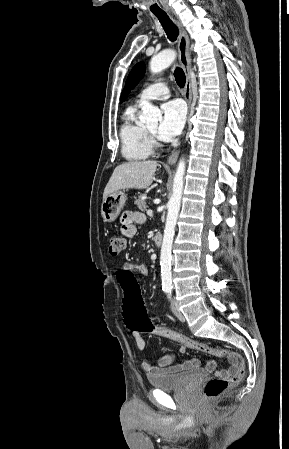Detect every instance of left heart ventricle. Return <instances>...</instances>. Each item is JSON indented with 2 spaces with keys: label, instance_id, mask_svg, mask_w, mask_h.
Segmentation results:
<instances>
[{
  "label": "left heart ventricle",
  "instance_id": "obj_1",
  "mask_svg": "<svg viewBox=\"0 0 289 449\" xmlns=\"http://www.w3.org/2000/svg\"><path fill=\"white\" fill-rule=\"evenodd\" d=\"M149 130L152 131L153 133L157 132V125H153L151 127H149Z\"/></svg>",
  "mask_w": 289,
  "mask_h": 449
}]
</instances>
